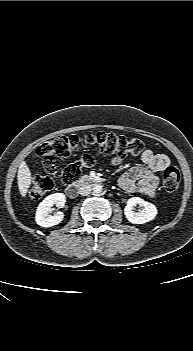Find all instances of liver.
<instances>
[{"label": "liver", "instance_id": "6515ba94", "mask_svg": "<svg viewBox=\"0 0 193 351\" xmlns=\"http://www.w3.org/2000/svg\"><path fill=\"white\" fill-rule=\"evenodd\" d=\"M17 180L19 192L22 197H25L32 181L30 169L25 161L20 163L17 173Z\"/></svg>", "mask_w": 193, "mask_h": 351}]
</instances>
